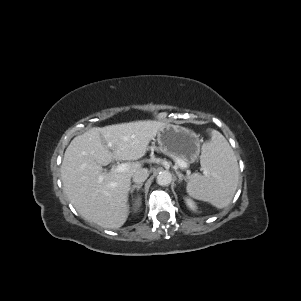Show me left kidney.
Listing matches in <instances>:
<instances>
[{"instance_id":"1","label":"left kidney","mask_w":301,"mask_h":301,"mask_svg":"<svg viewBox=\"0 0 301 301\" xmlns=\"http://www.w3.org/2000/svg\"><path fill=\"white\" fill-rule=\"evenodd\" d=\"M186 204L190 209H192V210L196 209V205L191 199H186Z\"/></svg>"}]
</instances>
